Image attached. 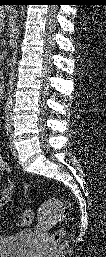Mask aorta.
<instances>
[{
  "instance_id": "aorta-1",
  "label": "aorta",
  "mask_w": 106,
  "mask_h": 257,
  "mask_svg": "<svg viewBox=\"0 0 106 257\" xmlns=\"http://www.w3.org/2000/svg\"><path fill=\"white\" fill-rule=\"evenodd\" d=\"M21 15L24 16V11H23V8H22V11H21ZM16 60H17V50H14L13 53H12V68H11V72L9 73V83H8V96L6 98V106H5V111H6V114H7V123L9 124L10 121H9V112L11 110V107H12V95H11V92H12V89H13V82H14V72H15V64H16Z\"/></svg>"
}]
</instances>
